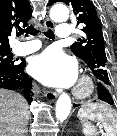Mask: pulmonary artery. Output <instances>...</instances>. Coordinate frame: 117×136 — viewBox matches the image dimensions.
<instances>
[{"instance_id":"pulmonary-artery-1","label":"pulmonary artery","mask_w":117,"mask_h":136,"mask_svg":"<svg viewBox=\"0 0 117 136\" xmlns=\"http://www.w3.org/2000/svg\"><path fill=\"white\" fill-rule=\"evenodd\" d=\"M56 35L60 39H69L73 36L71 27L68 23H63L59 25ZM41 46V43L39 41H30L22 44L21 46L17 47L15 49V53L18 55H26L30 54L36 50H38Z\"/></svg>"}]
</instances>
